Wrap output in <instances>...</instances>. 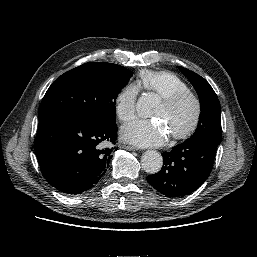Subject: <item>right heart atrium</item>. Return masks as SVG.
Segmentation results:
<instances>
[{
  "mask_svg": "<svg viewBox=\"0 0 257 257\" xmlns=\"http://www.w3.org/2000/svg\"><path fill=\"white\" fill-rule=\"evenodd\" d=\"M139 88L134 83L125 85L116 97L115 110L118 118L127 122L134 118Z\"/></svg>",
  "mask_w": 257,
  "mask_h": 257,
  "instance_id": "right-heart-atrium-1",
  "label": "right heart atrium"
}]
</instances>
